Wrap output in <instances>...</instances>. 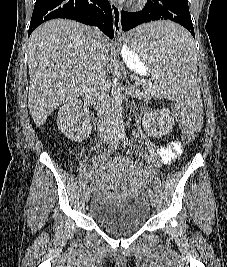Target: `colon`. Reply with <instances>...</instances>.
<instances>
[{
  "label": "colon",
  "instance_id": "1",
  "mask_svg": "<svg viewBox=\"0 0 227 267\" xmlns=\"http://www.w3.org/2000/svg\"><path fill=\"white\" fill-rule=\"evenodd\" d=\"M169 112L172 113L173 119L176 120L175 124L179 125L181 130V140H187V144H194L196 139L194 130L188 128V125L185 123L183 115H180L178 111L174 108V105H170Z\"/></svg>",
  "mask_w": 227,
  "mask_h": 267
}]
</instances>
